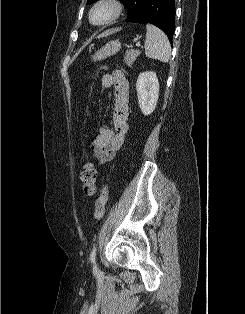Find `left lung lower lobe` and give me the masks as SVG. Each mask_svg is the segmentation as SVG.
Wrapping results in <instances>:
<instances>
[{
  "label": "left lung lower lobe",
  "instance_id": "0a47b994",
  "mask_svg": "<svg viewBox=\"0 0 245 314\" xmlns=\"http://www.w3.org/2000/svg\"><path fill=\"white\" fill-rule=\"evenodd\" d=\"M128 22H148L166 33L172 42L175 31V0H144L139 11Z\"/></svg>",
  "mask_w": 245,
  "mask_h": 314
}]
</instances>
